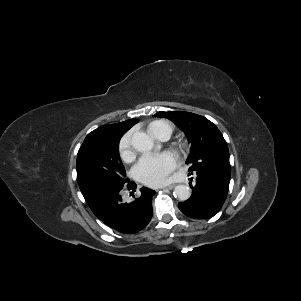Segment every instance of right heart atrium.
Instances as JSON below:
<instances>
[{"label": "right heart atrium", "mask_w": 301, "mask_h": 301, "mask_svg": "<svg viewBox=\"0 0 301 301\" xmlns=\"http://www.w3.org/2000/svg\"><path fill=\"white\" fill-rule=\"evenodd\" d=\"M119 154L121 159L126 162H132L135 159V150L132 144V132H126L119 140Z\"/></svg>", "instance_id": "d8ad5b80"}]
</instances>
